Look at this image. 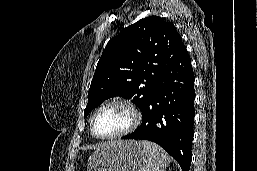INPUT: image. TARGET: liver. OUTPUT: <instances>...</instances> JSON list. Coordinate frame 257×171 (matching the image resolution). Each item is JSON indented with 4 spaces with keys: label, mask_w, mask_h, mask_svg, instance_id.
<instances>
[{
    "label": "liver",
    "mask_w": 257,
    "mask_h": 171,
    "mask_svg": "<svg viewBox=\"0 0 257 171\" xmlns=\"http://www.w3.org/2000/svg\"><path fill=\"white\" fill-rule=\"evenodd\" d=\"M114 143L113 142H110V143H104V144H101L98 149H101V148H104L106 146H110V145H113Z\"/></svg>",
    "instance_id": "obj_1"
}]
</instances>
